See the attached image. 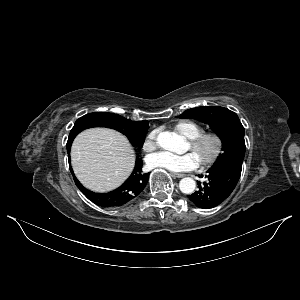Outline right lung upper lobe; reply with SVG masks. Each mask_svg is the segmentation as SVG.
Instances as JSON below:
<instances>
[{
  "label": "right lung upper lobe",
  "instance_id": "cb5924a9",
  "mask_svg": "<svg viewBox=\"0 0 300 300\" xmlns=\"http://www.w3.org/2000/svg\"><path fill=\"white\" fill-rule=\"evenodd\" d=\"M131 121V120H129ZM134 125H137V126H141V125H145L147 123L146 120H143V121H137V122H133L131 121Z\"/></svg>",
  "mask_w": 300,
  "mask_h": 300
}]
</instances>
